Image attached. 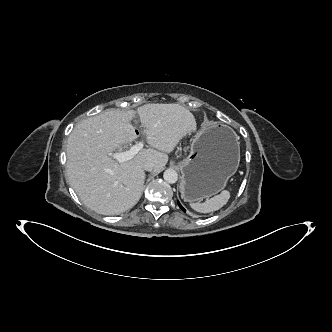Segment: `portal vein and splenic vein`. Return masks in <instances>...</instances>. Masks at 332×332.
<instances>
[{
	"instance_id": "1",
	"label": "portal vein and splenic vein",
	"mask_w": 332,
	"mask_h": 332,
	"mask_svg": "<svg viewBox=\"0 0 332 332\" xmlns=\"http://www.w3.org/2000/svg\"><path fill=\"white\" fill-rule=\"evenodd\" d=\"M144 147V142L139 141L133 145L128 151L116 152L112 154V158L117 160L119 163L131 160L138 152Z\"/></svg>"
}]
</instances>
